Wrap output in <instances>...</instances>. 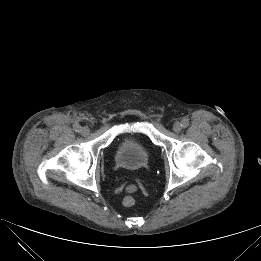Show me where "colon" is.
Returning a JSON list of instances; mask_svg holds the SVG:
<instances>
[{
	"label": "colon",
	"instance_id": "5ec220e1",
	"mask_svg": "<svg viewBox=\"0 0 261 261\" xmlns=\"http://www.w3.org/2000/svg\"><path fill=\"white\" fill-rule=\"evenodd\" d=\"M135 198L131 195H127L123 198L122 203L126 207H131L135 204Z\"/></svg>",
	"mask_w": 261,
	"mask_h": 261
}]
</instances>
